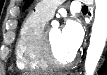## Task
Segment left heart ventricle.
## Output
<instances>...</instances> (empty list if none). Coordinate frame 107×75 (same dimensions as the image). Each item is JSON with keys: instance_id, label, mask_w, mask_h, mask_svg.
I'll list each match as a JSON object with an SVG mask.
<instances>
[{"instance_id": "left-heart-ventricle-1", "label": "left heart ventricle", "mask_w": 107, "mask_h": 75, "mask_svg": "<svg viewBox=\"0 0 107 75\" xmlns=\"http://www.w3.org/2000/svg\"><path fill=\"white\" fill-rule=\"evenodd\" d=\"M49 36H50L53 48L55 50L56 56L58 57L59 60L67 61L74 55V53H72L65 47L62 40L60 29L50 28Z\"/></svg>"}]
</instances>
